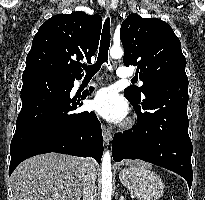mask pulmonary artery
Listing matches in <instances>:
<instances>
[{"label":"pulmonary artery","instance_id":"e3ab8cb5","mask_svg":"<svg viewBox=\"0 0 205 200\" xmlns=\"http://www.w3.org/2000/svg\"><path fill=\"white\" fill-rule=\"evenodd\" d=\"M116 75L119 78L125 79V78L131 77L132 72L130 70H128L127 68H125V67H120V68L117 69ZM99 81H102V78L96 77V78H93L90 82L94 83V82H99Z\"/></svg>","mask_w":205,"mask_h":200}]
</instances>
